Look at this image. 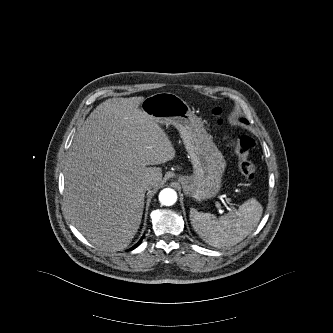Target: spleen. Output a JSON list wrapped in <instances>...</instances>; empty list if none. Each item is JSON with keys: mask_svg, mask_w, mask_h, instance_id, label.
I'll return each mask as SVG.
<instances>
[{"mask_svg": "<svg viewBox=\"0 0 333 333\" xmlns=\"http://www.w3.org/2000/svg\"><path fill=\"white\" fill-rule=\"evenodd\" d=\"M262 213V205L255 198H250L237 211L220 218L191 208L190 221L201 239L213 247L221 248L233 246L245 239L258 225Z\"/></svg>", "mask_w": 333, "mask_h": 333, "instance_id": "1", "label": "spleen"}]
</instances>
